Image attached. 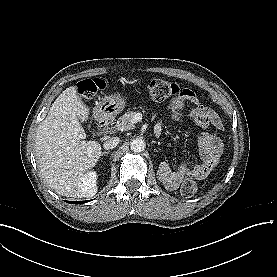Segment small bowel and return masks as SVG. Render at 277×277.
<instances>
[{
	"instance_id": "1",
	"label": "small bowel",
	"mask_w": 277,
	"mask_h": 277,
	"mask_svg": "<svg viewBox=\"0 0 277 277\" xmlns=\"http://www.w3.org/2000/svg\"><path fill=\"white\" fill-rule=\"evenodd\" d=\"M191 102L194 105L185 112L186 103ZM172 118L175 121H180L184 118L185 114L197 125L209 127L217 131L224 130L223 121L217 113L206 106H203L197 99L196 95L188 89H184L182 93L176 96L168 105ZM156 130L161 131V126ZM201 155L205 161L201 164L191 165L189 162L181 164V170L185 174H192L198 178L207 177L210 174V168L207 165L208 160L213 156H220L222 152V143L220 140L211 134H205L199 145Z\"/></svg>"
}]
</instances>
